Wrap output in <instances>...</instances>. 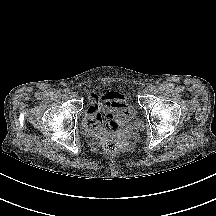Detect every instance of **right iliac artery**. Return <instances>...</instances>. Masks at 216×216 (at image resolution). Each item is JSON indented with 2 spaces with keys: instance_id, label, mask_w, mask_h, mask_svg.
<instances>
[{
  "instance_id": "obj_1",
  "label": "right iliac artery",
  "mask_w": 216,
  "mask_h": 216,
  "mask_svg": "<svg viewBox=\"0 0 216 216\" xmlns=\"http://www.w3.org/2000/svg\"><path fill=\"white\" fill-rule=\"evenodd\" d=\"M64 92H65L66 94H70V89L66 88V89L64 90Z\"/></svg>"
}]
</instances>
